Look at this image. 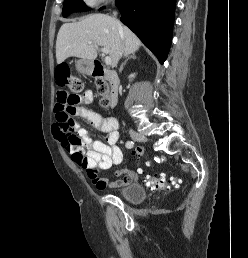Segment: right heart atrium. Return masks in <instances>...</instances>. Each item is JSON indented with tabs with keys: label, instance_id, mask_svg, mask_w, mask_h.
Here are the masks:
<instances>
[{
	"label": "right heart atrium",
	"instance_id": "d8ad5b80",
	"mask_svg": "<svg viewBox=\"0 0 248 258\" xmlns=\"http://www.w3.org/2000/svg\"><path fill=\"white\" fill-rule=\"evenodd\" d=\"M85 4L89 5V6H96L99 5L101 3H104L108 0H83Z\"/></svg>",
	"mask_w": 248,
	"mask_h": 258
}]
</instances>
